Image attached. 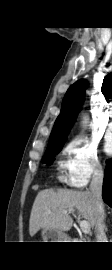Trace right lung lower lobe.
Returning a JSON list of instances; mask_svg holds the SVG:
<instances>
[{"label": "right lung lower lobe", "instance_id": "1", "mask_svg": "<svg viewBox=\"0 0 112 270\" xmlns=\"http://www.w3.org/2000/svg\"><path fill=\"white\" fill-rule=\"evenodd\" d=\"M102 197L104 202L112 207V158L107 160Z\"/></svg>", "mask_w": 112, "mask_h": 270}]
</instances>
